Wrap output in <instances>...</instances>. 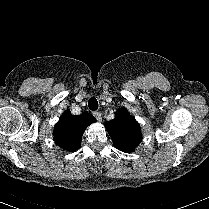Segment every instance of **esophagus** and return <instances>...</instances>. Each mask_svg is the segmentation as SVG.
<instances>
[{"label": "esophagus", "mask_w": 209, "mask_h": 209, "mask_svg": "<svg viewBox=\"0 0 209 209\" xmlns=\"http://www.w3.org/2000/svg\"><path fill=\"white\" fill-rule=\"evenodd\" d=\"M93 115L97 119V121H99V122L102 121V116H101L100 112H94Z\"/></svg>", "instance_id": "esophagus-1"}]
</instances>
